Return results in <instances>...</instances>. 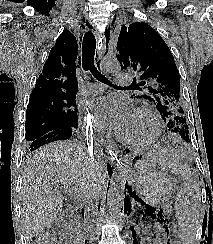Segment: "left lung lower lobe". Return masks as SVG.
<instances>
[{
    "mask_svg": "<svg viewBox=\"0 0 213 244\" xmlns=\"http://www.w3.org/2000/svg\"><path fill=\"white\" fill-rule=\"evenodd\" d=\"M126 152L128 153L129 152V150H126ZM195 166V165H194ZM126 188V187H125ZM121 211H122V209H121Z\"/></svg>",
    "mask_w": 213,
    "mask_h": 244,
    "instance_id": "obj_1",
    "label": "left lung lower lobe"
}]
</instances>
